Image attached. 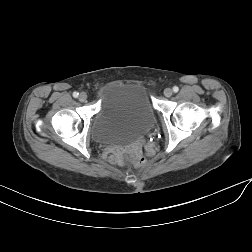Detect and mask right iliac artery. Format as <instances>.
Wrapping results in <instances>:
<instances>
[{
  "mask_svg": "<svg viewBox=\"0 0 252 252\" xmlns=\"http://www.w3.org/2000/svg\"><path fill=\"white\" fill-rule=\"evenodd\" d=\"M78 95H79V93H78V92H74V93H73V97H75V98H77V97H78Z\"/></svg>",
  "mask_w": 252,
  "mask_h": 252,
  "instance_id": "1",
  "label": "right iliac artery"
}]
</instances>
